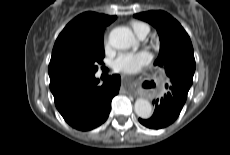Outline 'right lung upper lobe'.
I'll return each instance as SVG.
<instances>
[{
    "instance_id": "1",
    "label": "right lung upper lobe",
    "mask_w": 230,
    "mask_h": 155,
    "mask_svg": "<svg viewBox=\"0 0 230 155\" xmlns=\"http://www.w3.org/2000/svg\"><path fill=\"white\" fill-rule=\"evenodd\" d=\"M115 19L116 16L95 12L78 15L59 34L52 56L65 50H86L102 46L105 27Z\"/></svg>"
}]
</instances>
